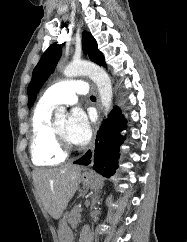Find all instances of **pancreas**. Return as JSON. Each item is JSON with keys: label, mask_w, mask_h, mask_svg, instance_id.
<instances>
[{"label": "pancreas", "mask_w": 187, "mask_h": 242, "mask_svg": "<svg viewBox=\"0 0 187 242\" xmlns=\"http://www.w3.org/2000/svg\"><path fill=\"white\" fill-rule=\"evenodd\" d=\"M80 211L78 208H74L70 213L69 224L73 227L77 225L80 220Z\"/></svg>", "instance_id": "pancreas-1"}]
</instances>
